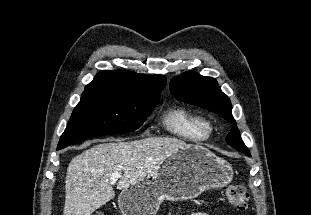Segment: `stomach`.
<instances>
[{
    "label": "stomach",
    "mask_w": 311,
    "mask_h": 215,
    "mask_svg": "<svg viewBox=\"0 0 311 215\" xmlns=\"http://www.w3.org/2000/svg\"><path fill=\"white\" fill-rule=\"evenodd\" d=\"M232 167L210 150L186 145L169 157L147 178L124 189L118 197L123 215H156L161 202L198 197L205 190L227 185Z\"/></svg>",
    "instance_id": "stomach-1"
}]
</instances>
